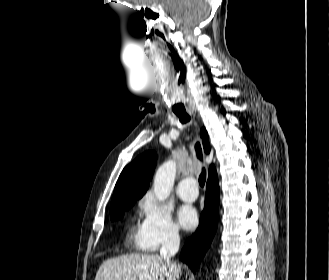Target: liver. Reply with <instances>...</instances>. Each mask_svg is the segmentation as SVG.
Masks as SVG:
<instances>
[{
	"label": "liver",
	"instance_id": "1",
	"mask_svg": "<svg viewBox=\"0 0 329 280\" xmlns=\"http://www.w3.org/2000/svg\"><path fill=\"white\" fill-rule=\"evenodd\" d=\"M181 267L167 264L159 255L130 254L105 260L95 280H176Z\"/></svg>",
	"mask_w": 329,
	"mask_h": 280
}]
</instances>
